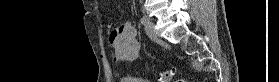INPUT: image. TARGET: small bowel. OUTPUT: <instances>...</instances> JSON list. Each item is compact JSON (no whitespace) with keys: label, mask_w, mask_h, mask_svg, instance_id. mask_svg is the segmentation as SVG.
Returning a JSON list of instances; mask_svg holds the SVG:
<instances>
[{"label":"small bowel","mask_w":279,"mask_h":82,"mask_svg":"<svg viewBox=\"0 0 279 82\" xmlns=\"http://www.w3.org/2000/svg\"><path fill=\"white\" fill-rule=\"evenodd\" d=\"M110 42L117 61H133L139 58L140 45L135 38V30L131 24L127 23L111 29Z\"/></svg>","instance_id":"c3829d8e"}]
</instances>
